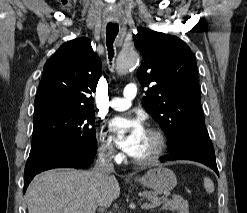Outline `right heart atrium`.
<instances>
[{
  "label": "right heart atrium",
  "instance_id": "1",
  "mask_svg": "<svg viewBox=\"0 0 247 213\" xmlns=\"http://www.w3.org/2000/svg\"><path fill=\"white\" fill-rule=\"evenodd\" d=\"M98 152L100 156L108 160H119L120 154L116 151L111 138L104 130L98 134Z\"/></svg>",
  "mask_w": 247,
  "mask_h": 213
}]
</instances>
